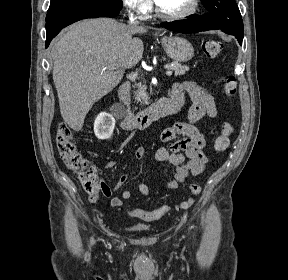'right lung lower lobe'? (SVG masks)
Here are the masks:
<instances>
[{
    "instance_id": "right-lung-lower-lobe-1",
    "label": "right lung lower lobe",
    "mask_w": 288,
    "mask_h": 280,
    "mask_svg": "<svg viewBox=\"0 0 288 280\" xmlns=\"http://www.w3.org/2000/svg\"><path fill=\"white\" fill-rule=\"evenodd\" d=\"M121 9L97 0H68L49 7L46 16V47L64 27L85 18L115 17Z\"/></svg>"
}]
</instances>
